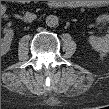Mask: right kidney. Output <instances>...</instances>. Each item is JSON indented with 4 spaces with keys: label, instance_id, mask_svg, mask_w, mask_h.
<instances>
[{
    "label": "right kidney",
    "instance_id": "obj_1",
    "mask_svg": "<svg viewBox=\"0 0 109 109\" xmlns=\"http://www.w3.org/2000/svg\"><path fill=\"white\" fill-rule=\"evenodd\" d=\"M4 37L1 39V53L2 55L6 54L10 50L12 38H13V30L5 29Z\"/></svg>",
    "mask_w": 109,
    "mask_h": 109
}]
</instances>
